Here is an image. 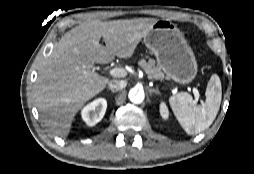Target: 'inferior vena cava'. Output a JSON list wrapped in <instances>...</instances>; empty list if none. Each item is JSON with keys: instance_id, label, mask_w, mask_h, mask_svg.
Here are the masks:
<instances>
[{"instance_id": "inferior-vena-cava-1", "label": "inferior vena cava", "mask_w": 254, "mask_h": 174, "mask_svg": "<svg viewBox=\"0 0 254 174\" xmlns=\"http://www.w3.org/2000/svg\"><path fill=\"white\" fill-rule=\"evenodd\" d=\"M126 85H127V82L124 80H111L108 83L109 89L115 92L124 89Z\"/></svg>"}]
</instances>
